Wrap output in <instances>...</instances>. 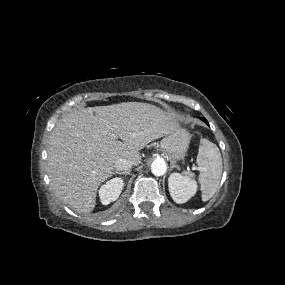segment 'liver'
<instances>
[{"mask_svg":"<svg viewBox=\"0 0 285 285\" xmlns=\"http://www.w3.org/2000/svg\"><path fill=\"white\" fill-rule=\"evenodd\" d=\"M178 128L171 113L147 103L74 110L57 123L50 136L51 187L65 204L89 214L95 208L98 187L112 176L118 159L139 165V150Z\"/></svg>","mask_w":285,"mask_h":285,"instance_id":"6515ba94","label":"liver"}]
</instances>
